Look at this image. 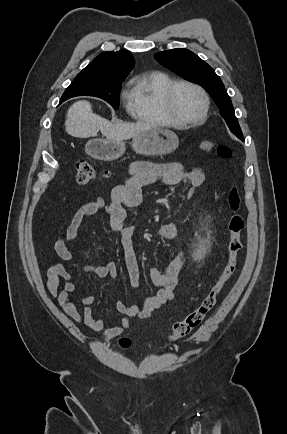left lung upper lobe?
Wrapping results in <instances>:
<instances>
[{
  "mask_svg": "<svg viewBox=\"0 0 287 434\" xmlns=\"http://www.w3.org/2000/svg\"><path fill=\"white\" fill-rule=\"evenodd\" d=\"M154 57L160 64L177 75L201 85L209 92L231 132L243 140L231 99L225 91L224 84L205 61L184 48L158 52Z\"/></svg>",
  "mask_w": 287,
  "mask_h": 434,
  "instance_id": "1",
  "label": "left lung upper lobe"
}]
</instances>
